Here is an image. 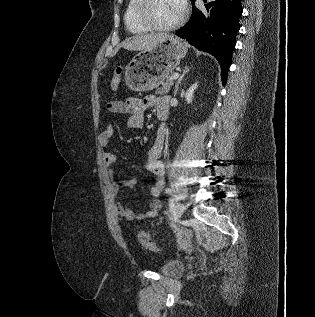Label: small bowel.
Instances as JSON below:
<instances>
[{"instance_id":"small-bowel-1","label":"small bowel","mask_w":315,"mask_h":317,"mask_svg":"<svg viewBox=\"0 0 315 317\" xmlns=\"http://www.w3.org/2000/svg\"><path fill=\"white\" fill-rule=\"evenodd\" d=\"M107 110L112 114L128 115V126L132 129H141L144 126V112L148 108L156 110L157 118L164 121L168 116L169 98L166 96L157 97L148 95L143 98H128L125 101H113L106 106ZM115 132V126L110 123L99 134V142L103 146H108ZM165 138V129L160 126L157 130L156 137L151 149L148 152L145 166L155 176L153 183L150 186V194L152 200L150 207L144 212H135L125 207L121 203L115 205L117 214L126 220H143L157 216L161 209L162 203L159 195L164 187L165 165L160 160V153L163 147ZM104 165L109 172L113 174L116 156L111 151H106L103 155ZM136 185V180L133 177H128L120 181H113L110 185V193L116 196L121 188H133Z\"/></svg>"}]
</instances>
